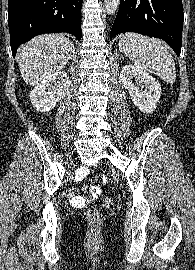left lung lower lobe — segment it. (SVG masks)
<instances>
[{
	"label": "left lung lower lobe",
	"instance_id": "left-lung-lower-lobe-1",
	"mask_svg": "<svg viewBox=\"0 0 195 270\" xmlns=\"http://www.w3.org/2000/svg\"><path fill=\"white\" fill-rule=\"evenodd\" d=\"M182 30V0H120L110 37L137 32L160 38L179 56Z\"/></svg>",
	"mask_w": 195,
	"mask_h": 270
}]
</instances>
